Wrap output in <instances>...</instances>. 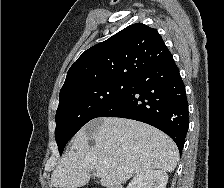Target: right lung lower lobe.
Returning <instances> with one entry per match:
<instances>
[{
  "label": "right lung lower lobe",
  "instance_id": "obj_1",
  "mask_svg": "<svg viewBox=\"0 0 224 188\" xmlns=\"http://www.w3.org/2000/svg\"><path fill=\"white\" fill-rule=\"evenodd\" d=\"M184 83L172 55L131 79L126 96L101 117L150 124L169 135L180 154L189 127Z\"/></svg>",
  "mask_w": 224,
  "mask_h": 188
}]
</instances>
